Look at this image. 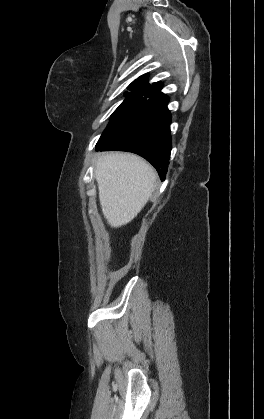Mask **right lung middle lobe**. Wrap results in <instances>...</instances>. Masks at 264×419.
Wrapping results in <instances>:
<instances>
[{"instance_id": "dd1d6c3e", "label": "right lung middle lobe", "mask_w": 264, "mask_h": 419, "mask_svg": "<svg viewBox=\"0 0 264 419\" xmlns=\"http://www.w3.org/2000/svg\"><path fill=\"white\" fill-rule=\"evenodd\" d=\"M149 99L147 96L135 92L129 93L123 103L112 114L111 120L102 133L96 147L108 143L125 130L137 117Z\"/></svg>"}]
</instances>
